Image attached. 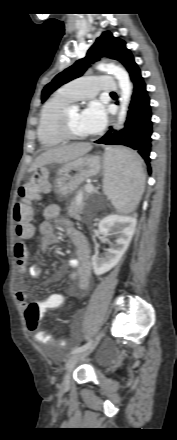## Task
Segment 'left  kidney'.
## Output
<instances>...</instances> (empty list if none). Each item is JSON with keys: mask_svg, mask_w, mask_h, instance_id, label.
<instances>
[{"mask_svg": "<svg viewBox=\"0 0 177 440\" xmlns=\"http://www.w3.org/2000/svg\"><path fill=\"white\" fill-rule=\"evenodd\" d=\"M136 222L129 217L108 215L99 223L103 234L102 241H108V232L113 230L116 240L111 248L106 250L105 257L99 258L97 254L92 256V265L96 275H102L115 267L126 252L135 231Z\"/></svg>", "mask_w": 177, "mask_h": 440, "instance_id": "left-kidney-1", "label": "left kidney"}]
</instances>
